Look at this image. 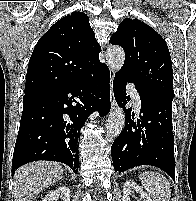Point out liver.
Instances as JSON below:
<instances>
[{
	"instance_id": "1",
	"label": "liver",
	"mask_w": 196,
	"mask_h": 201,
	"mask_svg": "<svg viewBox=\"0 0 196 201\" xmlns=\"http://www.w3.org/2000/svg\"><path fill=\"white\" fill-rule=\"evenodd\" d=\"M63 168L56 162L35 161L21 166L14 174L15 201H31L34 196L58 182Z\"/></svg>"
}]
</instances>
